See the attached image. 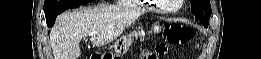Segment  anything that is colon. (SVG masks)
<instances>
[{
  "instance_id": "obj_1",
  "label": "colon",
  "mask_w": 261,
  "mask_h": 59,
  "mask_svg": "<svg viewBox=\"0 0 261 59\" xmlns=\"http://www.w3.org/2000/svg\"><path fill=\"white\" fill-rule=\"evenodd\" d=\"M154 30L162 31V36L165 41L172 45H186L190 43L195 37V30L189 26L178 23H167L164 25H155ZM167 52V45L160 43L156 45L153 52H147L144 59H158ZM91 59H113L114 57L108 53L101 55L94 53Z\"/></svg>"
}]
</instances>
